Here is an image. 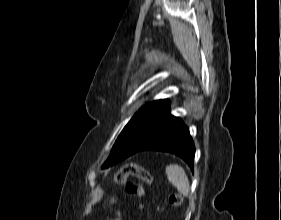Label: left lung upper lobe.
Wrapping results in <instances>:
<instances>
[{
  "label": "left lung upper lobe",
  "instance_id": "1",
  "mask_svg": "<svg viewBox=\"0 0 281 220\" xmlns=\"http://www.w3.org/2000/svg\"><path fill=\"white\" fill-rule=\"evenodd\" d=\"M170 111L168 100L144 105L124 127L102 168H107L138 152L152 137Z\"/></svg>",
  "mask_w": 281,
  "mask_h": 220
}]
</instances>
